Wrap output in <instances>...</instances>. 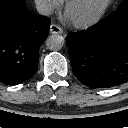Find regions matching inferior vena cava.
<instances>
[{"mask_svg":"<svg viewBox=\"0 0 128 128\" xmlns=\"http://www.w3.org/2000/svg\"><path fill=\"white\" fill-rule=\"evenodd\" d=\"M36 9L41 15H50L52 13V7L43 0H37Z\"/></svg>","mask_w":128,"mask_h":128,"instance_id":"602c4592","label":"inferior vena cava"}]
</instances>
